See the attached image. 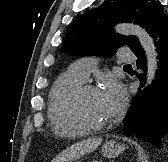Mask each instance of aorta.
<instances>
[{
  "label": "aorta",
  "mask_w": 168,
  "mask_h": 162,
  "mask_svg": "<svg viewBox=\"0 0 168 162\" xmlns=\"http://www.w3.org/2000/svg\"><path fill=\"white\" fill-rule=\"evenodd\" d=\"M117 32L123 35H136L143 47L147 58V82L146 86L150 85L154 79L157 69V52L153 39L149 36L146 30L138 25L123 24L116 28Z\"/></svg>",
  "instance_id": "762f6f07"
}]
</instances>
